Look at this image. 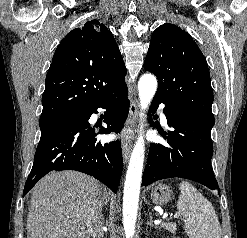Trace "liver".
<instances>
[{"label": "liver", "instance_id": "1", "mask_svg": "<svg viewBox=\"0 0 247 238\" xmlns=\"http://www.w3.org/2000/svg\"><path fill=\"white\" fill-rule=\"evenodd\" d=\"M109 193L94 178L76 171L51 172L33 188L27 238H87L89 205Z\"/></svg>", "mask_w": 247, "mask_h": 238}]
</instances>
